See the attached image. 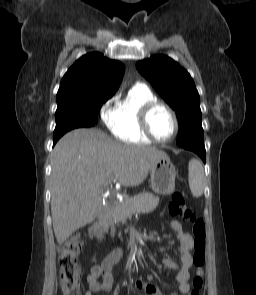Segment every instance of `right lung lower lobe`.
I'll return each instance as SVG.
<instances>
[{"mask_svg":"<svg viewBox=\"0 0 256 295\" xmlns=\"http://www.w3.org/2000/svg\"><path fill=\"white\" fill-rule=\"evenodd\" d=\"M95 124H96V122H94L93 120L90 119V120L87 121V126L86 127H92ZM62 135L63 134L54 135L53 136V144H55Z\"/></svg>","mask_w":256,"mask_h":295,"instance_id":"1","label":"right lung lower lobe"}]
</instances>
